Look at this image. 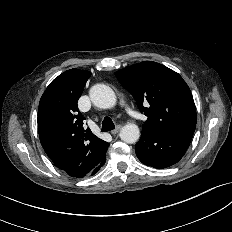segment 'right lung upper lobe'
I'll return each mask as SVG.
<instances>
[{
  "mask_svg": "<svg viewBox=\"0 0 232 232\" xmlns=\"http://www.w3.org/2000/svg\"><path fill=\"white\" fill-rule=\"evenodd\" d=\"M91 76L70 69L55 78L43 93L38 108V132L44 151L68 175L83 178L105 157L108 143L84 130L77 101Z\"/></svg>",
  "mask_w": 232,
  "mask_h": 232,
  "instance_id": "obj_1",
  "label": "right lung upper lobe"
}]
</instances>
